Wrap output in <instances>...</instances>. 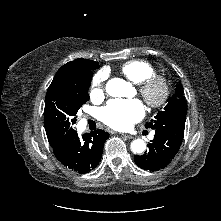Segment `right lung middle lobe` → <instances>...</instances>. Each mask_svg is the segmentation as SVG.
<instances>
[{
    "label": "right lung middle lobe",
    "instance_id": "1",
    "mask_svg": "<svg viewBox=\"0 0 221 221\" xmlns=\"http://www.w3.org/2000/svg\"><path fill=\"white\" fill-rule=\"evenodd\" d=\"M92 74L80 73L71 84L50 85L45 97L44 125L50 145L68 138L75 130L76 114L89 100Z\"/></svg>",
    "mask_w": 221,
    "mask_h": 221
}]
</instances>
